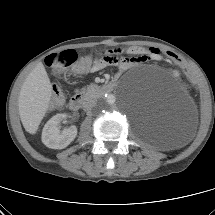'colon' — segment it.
<instances>
[{
  "label": "colon",
  "instance_id": "colon-1",
  "mask_svg": "<svg viewBox=\"0 0 215 215\" xmlns=\"http://www.w3.org/2000/svg\"><path fill=\"white\" fill-rule=\"evenodd\" d=\"M164 56L171 61L175 62V65L180 69L181 74L189 79L191 83V87H196V81L198 79L197 75L195 74L192 66L183 60L179 55L173 53L170 50L164 51ZM78 60V55L75 50H65L60 53H54L49 55L46 58V65L50 67L52 70L59 72L65 69L68 66L69 68V75L71 77H78L83 76L86 74L87 70L91 68L92 61L87 56H82ZM63 104V95L61 89L58 85L53 86V98L51 101V108L57 109L61 107Z\"/></svg>",
  "mask_w": 215,
  "mask_h": 215
}]
</instances>
